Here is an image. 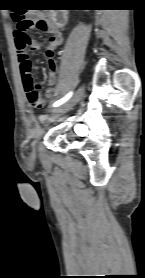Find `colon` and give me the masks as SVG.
<instances>
[{
  "label": "colon",
  "mask_w": 145,
  "mask_h": 278,
  "mask_svg": "<svg viewBox=\"0 0 145 278\" xmlns=\"http://www.w3.org/2000/svg\"><path fill=\"white\" fill-rule=\"evenodd\" d=\"M49 25L47 18H35L33 20H19L16 23L14 35L17 39L16 47L19 56H24L31 49H33L30 39L25 35L27 29L44 31ZM29 64L23 66V70H28ZM25 89L27 91V99L29 104L34 109H40L43 107V98L40 93L39 86L35 83L34 77L30 74L25 77Z\"/></svg>",
  "instance_id": "5ec220e1"
}]
</instances>
